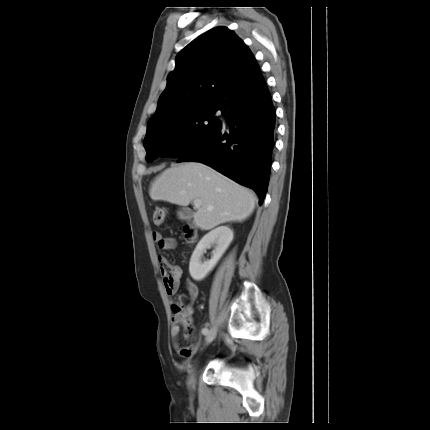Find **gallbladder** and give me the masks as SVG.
<instances>
[{"label": "gallbladder", "mask_w": 430, "mask_h": 430, "mask_svg": "<svg viewBox=\"0 0 430 430\" xmlns=\"http://www.w3.org/2000/svg\"><path fill=\"white\" fill-rule=\"evenodd\" d=\"M193 212L188 209V208H181L178 212H177V216L180 220L185 221L188 220L192 217Z\"/></svg>", "instance_id": "gallbladder-1"}]
</instances>
